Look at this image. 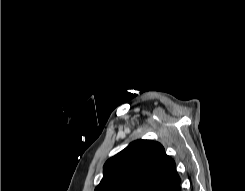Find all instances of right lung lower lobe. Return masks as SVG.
I'll use <instances>...</instances> for the list:
<instances>
[{"mask_svg": "<svg viewBox=\"0 0 245 191\" xmlns=\"http://www.w3.org/2000/svg\"><path fill=\"white\" fill-rule=\"evenodd\" d=\"M173 191H181L180 184Z\"/></svg>", "mask_w": 245, "mask_h": 191, "instance_id": "1", "label": "right lung lower lobe"}]
</instances>
